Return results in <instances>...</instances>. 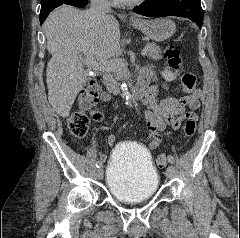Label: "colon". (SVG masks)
Returning <instances> with one entry per match:
<instances>
[{
    "instance_id": "obj_1",
    "label": "colon",
    "mask_w": 240,
    "mask_h": 238,
    "mask_svg": "<svg viewBox=\"0 0 240 238\" xmlns=\"http://www.w3.org/2000/svg\"><path fill=\"white\" fill-rule=\"evenodd\" d=\"M165 58L168 60L169 65L175 70H179L182 66V58L180 51L173 45L167 46L164 53ZM181 82L185 92H190L195 88L196 76L191 72H184L181 74ZM100 85L98 77L87 80L81 91L79 97L80 110L73 112L66 120V125L71 133L76 138H83L89 127V117L85 111L91 110L99 101ZM196 131V120L187 119L183 126V133L186 137H192ZM158 167L163 168L167 164L165 154H160L156 158Z\"/></svg>"
}]
</instances>
